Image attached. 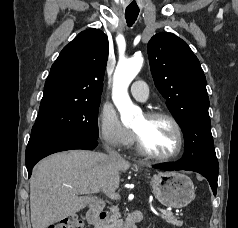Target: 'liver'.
I'll return each instance as SVG.
<instances>
[{
	"label": "liver",
	"mask_w": 238,
	"mask_h": 228,
	"mask_svg": "<svg viewBox=\"0 0 238 228\" xmlns=\"http://www.w3.org/2000/svg\"><path fill=\"white\" fill-rule=\"evenodd\" d=\"M131 164L104 153L73 150L41 160L30 180L33 228H47L84 209L96 198L95 191L114 193L120 174Z\"/></svg>",
	"instance_id": "obj_1"
}]
</instances>
